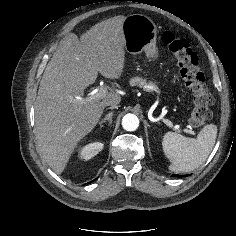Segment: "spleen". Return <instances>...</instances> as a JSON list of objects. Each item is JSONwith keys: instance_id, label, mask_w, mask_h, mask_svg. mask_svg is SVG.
Listing matches in <instances>:
<instances>
[{"instance_id": "1", "label": "spleen", "mask_w": 236, "mask_h": 236, "mask_svg": "<svg viewBox=\"0 0 236 236\" xmlns=\"http://www.w3.org/2000/svg\"><path fill=\"white\" fill-rule=\"evenodd\" d=\"M217 131L215 124H208L201 129L197 138L185 137L174 132L165 133L162 148L171 162L169 169L184 173L202 165L214 147Z\"/></svg>"}]
</instances>
